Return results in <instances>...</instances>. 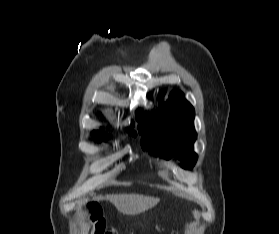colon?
Listing matches in <instances>:
<instances>
[{
	"mask_svg": "<svg viewBox=\"0 0 279 234\" xmlns=\"http://www.w3.org/2000/svg\"><path fill=\"white\" fill-rule=\"evenodd\" d=\"M89 211L87 223L91 234H117L116 231L108 227L101 210L97 206H90Z\"/></svg>",
	"mask_w": 279,
	"mask_h": 234,
	"instance_id": "obj_1",
	"label": "colon"
}]
</instances>
